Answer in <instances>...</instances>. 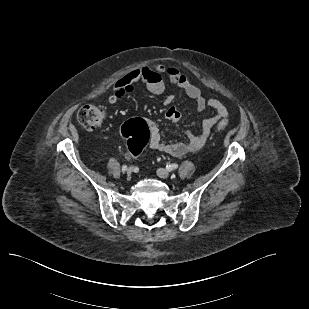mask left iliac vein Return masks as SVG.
Here are the masks:
<instances>
[{
    "mask_svg": "<svg viewBox=\"0 0 309 309\" xmlns=\"http://www.w3.org/2000/svg\"><path fill=\"white\" fill-rule=\"evenodd\" d=\"M157 175L160 177V178H163V179H166L170 176V173L168 170L164 169V168H159L157 170Z\"/></svg>",
    "mask_w": 309,
    "mask_h": 309,
    "instance_id": "1",
    "label": "left iliac vein"
}]
</instances>
